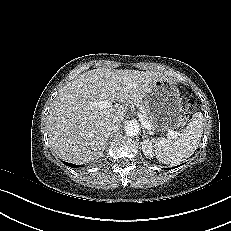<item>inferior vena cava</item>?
<instances>
[{"mask_svg": "<svg viewBox=\"0 0 231 231\" xmlns=\"http://www.w3.org/2000/svg\"><path fill=\"white\" fill-rule=\"evenodd\" d=\"M120 121L113 120L106 125V130L109 134L116 132L119 129Z\"/></svg>", "mask_w": 231, "mask_h": 231, "instance_id": "1", "label": "inferior vena cava"}]
</instances>
